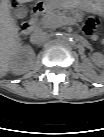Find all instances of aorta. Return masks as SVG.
<instances>
[{
	"instance_id": "762f6f07",
	"label": "aorta",
	"mask_w": 104,
	"mask_h": 137,
	"mask_svg": "<svg viewBox=\"0 0 104 137\" xmlns=\"http://www.w3.org/2000/svg\"><path fill=\"white\" fill-rule=\"evenodd\" d=\"M72 38L68 34H62L58 37V42L62 45H68L72 43Z\"/></svg>"
}]
</instances>
